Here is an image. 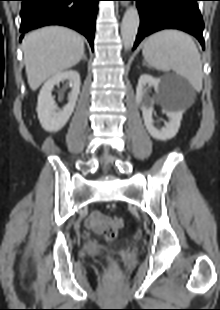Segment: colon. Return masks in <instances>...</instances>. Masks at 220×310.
Masks as SVG:
<instances>
[{"mask_svg": "<svg viewBox=\"0 0 220 310\" xmlns=\"http://www.w3.org/2000/svg\"><path fill=\"white\" fill-rule=\"evenodd\" d=\"M124 226V221L122 218L108 219L104 226V237L108 242H113L118 235V231ZM110 270L114 272L116 270L115 262L111 261Z\"/></svg>", "mask_w": 220, "mask_h": 310, "instance_id": "obj_1", "label": "colon"}]
</instances>
